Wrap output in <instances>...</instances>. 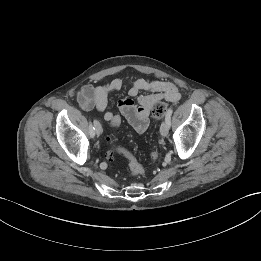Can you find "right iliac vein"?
Segmentation results:
<instances>
[{
  "label": "right iliac vein",
  "instance_id": "right-iliac-vein-1",
  "mask_svg": "<svg viewBox=\"0 0 261 261\" xmlns=\"http://www.w3.org/2000/svg\"><path fill=\"white\" fill-rule=\"evenodd\" d=\"M95 133L100 135L102 133V126L99 121L96 120Z\"/></svg>",
  "mask_w": 261,
  "mask_h": 261
}]
</instances>
